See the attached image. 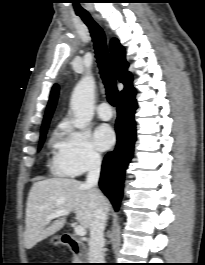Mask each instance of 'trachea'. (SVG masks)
Masks as SVG:
<instances>
[{"mask_svg": "<svg viewBox=\"0 0 205 265\" xmlns=\"http://www.w3.org/2000/svg\"><path fill=\"white\" fill-rule=\"evenodd\" d=\"M88 26L96 54L100 75L106 88L109 103L115 106L118 98V89L115 73L107 51L106 38L102 28L93 20L90 14H78Z\"/></svg>", "mask_w": 205, "mask_h": 265, "instance_id": "trachea-1", "label": "trachea"}]
</instances>
